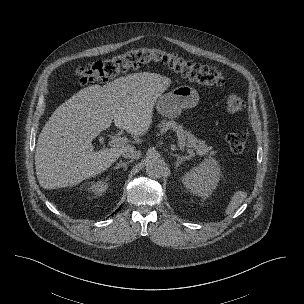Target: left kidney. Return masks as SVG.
Returning a JSON list of instances; mask_svg holds the SVG:
<instances>
[{"label": "left kidney", "mask_w": 304, "mask_h": 304, "mask_svg": "<svg viewBox=\"0 0 304 304\" xmlns=\"http://www.w3.org/2000/svg\"><path fill=\"white\" fill-rule=\"evenodd\" d=\"M220 176L221 171L217 161L209 159L187 172L183 176V184L191 193L206 198L216 188Z\"/></svg>", "instance_id": "5707ae66"}]
</instances>
